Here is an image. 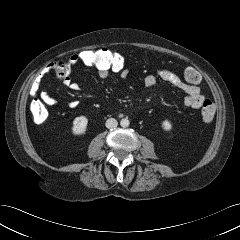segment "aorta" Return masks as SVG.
Masks as SVG:
<instances>
[{"label": "aorta", "mask_w": 240, "mask_h": 240, "mask_svg": "<svg viewBox=\"0 0 240 240\" xmlns=\"http://www.w3.org/2000/svg\"><path fill=\"white\" fill-rule=\"evenodd\" d=\"M120 125H121V127L126 128L130 125V122L127 118H123L120 121Z\"/></svg>", "instance_id": "obj_1"}]
</instances>
